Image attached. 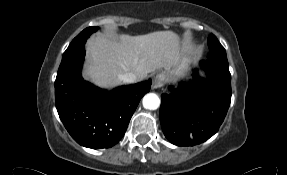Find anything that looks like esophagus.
Wrapping results in <instances>:
<instances>
[{
  "mask_svg": "<svg viewBox=\"0 0 287 175\" xmlns=\"http://www.w3.org/2000/svg\"><path fill=\"white\" fill-rule=\"evenodd\" d=\"M165 77L163 74H157L153 78L152 86L153 88H159L164 85Z\"/></svg>",
  "mask_w": 287,
  "mask_h": 175,
  "instance_id": "esophagus-1",
  "label": "esophagus"
}]
</instances>
